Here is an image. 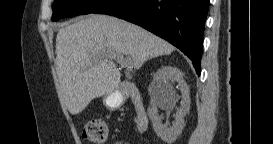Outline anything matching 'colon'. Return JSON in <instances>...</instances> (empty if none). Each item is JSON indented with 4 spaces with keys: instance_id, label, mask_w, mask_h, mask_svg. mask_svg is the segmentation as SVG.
I'll list each match as a JSON object with an SVG mask.
<instances>
[{
    "instance_id": "1",
    "label": "colon",
    "mask_w": 273,
    "mask_h": 144,
    "mask_svg": "<svg viewBox=\"0 0 273 144\" xmlns=\"http://www.w3.org/2000/svg\"><path fill=\"white\" fill-rule=\"evenodd\" d=\"M83 137L92 143L102 144L107 141L108 130L104 120L93 118L88 120L83 126Z\"/></svg>"
}]
</instances>
